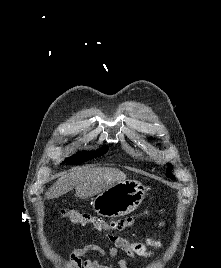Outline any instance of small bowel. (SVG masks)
<instances>
[{
  "label": "small bowel",
  "mask_w": 221,
  "mask_h": 268,
  "mask_svg": "<svg viewBox=\"0 0 221 268\" xmlns=\"http://www.w3.org/2000/svg\"><path fill=\"white\" fill-rule=\"evenodd\" d=\"M106 239L112 243L108 250L97 244H85L75 248L69 254L71 268H129L127 259H118L120 251L129 257H150L153 249L160 246L159 241L137 234L133 239H127L117 234H106ZM108 256L109 262L103 263L99 259Z\"/></svg>",
  "instance_id": "c3829d8e"
}]
</instances>
